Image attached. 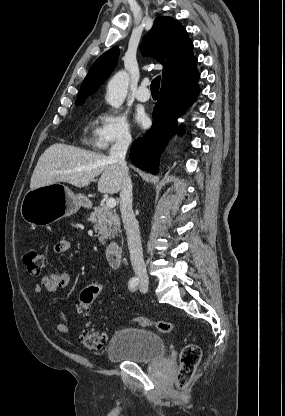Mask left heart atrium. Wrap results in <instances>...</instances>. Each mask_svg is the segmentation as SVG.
I'll list each match as a JSON object with an SVG mask.
<instances>
[{
  "label": "left heart atrium",
  "mask_w": 285,
  "mask_h": 416,
  "mask_svg": "<svg viewBox=\"0 0 285 416\" xmlns=\"http://www.w3.org/2000/svg\"><path fill=\"white\" fill-rule=\"evenodd\" d=\"M146 115H145V113L144 112H142V111H138L136 114H135V120H136V122L138 123V124H140V125H144L145 124V122H146Z\"/></svg>",
  "instance_id": "obj_1"
}]
</instances>
